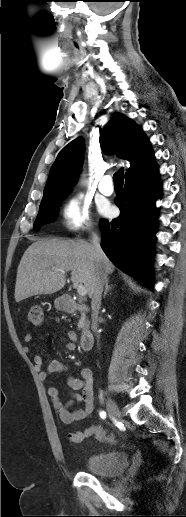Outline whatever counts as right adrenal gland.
<instances>
[{"instance_id": "obj_1", "label": "right adrenal gland", "mask_w": 186, "mask_h": 517, "mask_svg": "<svg viewBox=\"0 0 186 517\" xmlns=\"http://www.w3.org/2000/svg\"><path fill=\"white\" fill-rule=\"evenodd\" d=\"M113 287V285H109V280L107 279V282L105 284L104 297L107 295L108 291H110Z\"/></svg>"}]
</instances>
